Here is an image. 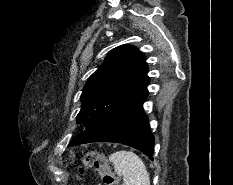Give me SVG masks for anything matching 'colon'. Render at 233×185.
I'll list each match as a JSON object with an SVG mask.
<instances>
[{"label":"colon","mask_w":233,"mask_h":185,"mask_svg":"<svg viewBox=\"0 0 233 185\" xmlns=\"http://www.w3.org/2000/svg\"><path fill=\"white\" fill-rule=\"evenodd\" d=\"M85 164L93 166L100 179V185H118L105 155L99 151H90L85 155Z\"/></svg>","instance_id":"5ec220e1"}]
</instances>
